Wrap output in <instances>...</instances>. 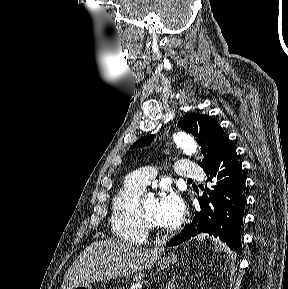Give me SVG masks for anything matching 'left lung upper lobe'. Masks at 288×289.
Wrapping results in <instances>:
<instances>
[{
  "instance_id": "1",
  "label": "left lung upper lobe",
  "mask_w": 288,
  "mask_h": 289,
  "mask_svg": "<svg viewBox=\"0 0 288 289\" xmlns=\"http://www.w3.org/2000/svg\"><path fill=\"white\" fill-rule=\"evenodd\" d=\"M178 127L196 137L198 144L201 146V153L204 156L203 160L198 163L202 168L211 163L222 144L228 139L220 125L210 116L204 114L186 115L181 118ZM153 139L154 135L145 136L133 144L131 148L149 145Z\"/></svg>"
}]
</instances>
